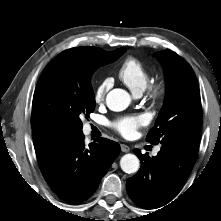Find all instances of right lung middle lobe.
<instances>
[{
  "instance_id": "obj_1",
  "label": "right lung middle lobe",
  "mask_w": 221,
  "mask_h": 221,
  "mask_svg": "<svg viewBox=\"0 0 221 221\" xmlns=\"http://www.w3.org/2000/svg\"><path fill=\"white\" fill-rule=\"evenodd\" d=\"M125 48L107 52L69 49L59 54L44 69L36 86L31 122L39 134L82 132L83 115L95 109L90 78L98 67L114 62Z\"/></svg>"
}]
</instances>
